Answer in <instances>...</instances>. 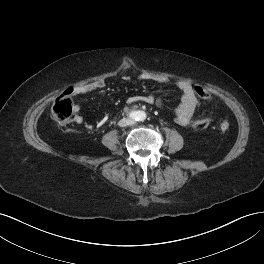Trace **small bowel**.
Listing matches in <instances>:
<instances>
[{"label": "small bowel", "mask_w": 264, "mask_h": 264, "mask_svg": "<svg viewBox=\"0 0 264 264\" xmlns=\"http://www.w3.org/2000/svg\"><path fill=\"white\" fill-rule=\"evenodd\" d=\"M124 80H128V76L123 77ZM139 79L141 81H147V80H154L159 83H166L168 82V79L165 77H156L152 78L146 74H142L139 76ZM105 81L102 79L89 82L86 84H81L78 86H75L71 89V94L73 95H80V94H85L89 93L95 90H99L105 87ZM177 87L178 89L182 92V97L179 105L177 106L175 113H176V118L175 121L178 125L182 127H188L191 123V120L193 116L196 113V110L198 108L199 102L198 99L195 95V92L193 90V87L190 83L186 81H179L177 82ZM134 102H144L147 104H156L157 106L162 105V101L160 98H156L151 94H146V95H135L131 96L127 99L128 104H132ZM83 118L78 115L75 119V122L80 124L82 123Z\"/></svg>", "instance_id": "c3829d8e"}]
</instances>
